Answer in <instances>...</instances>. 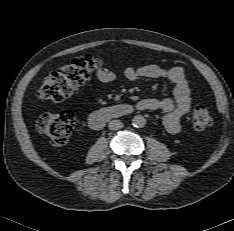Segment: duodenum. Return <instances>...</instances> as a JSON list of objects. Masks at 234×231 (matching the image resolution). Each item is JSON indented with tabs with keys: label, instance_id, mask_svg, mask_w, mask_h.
Segmentation results:
<instances>
[{
	"label": "duodenum",
	"instance_id": "410a0bca",
	"mask_svg": "<svg viewBox=\"0 0 234 231\" xmlns=\"http://www.w3.org/2000/svg\"><path fill=\"white\" fill-rule=\"evenodd\" d=\"M134 108L129 104L112 105L98 111H95L90 116V124L93 128L99 129L104 124L112 119L124 117L132 114Z\"/></svg>",
	"mask_w": 234,
	"mask_h": 231
}]
</instances>
